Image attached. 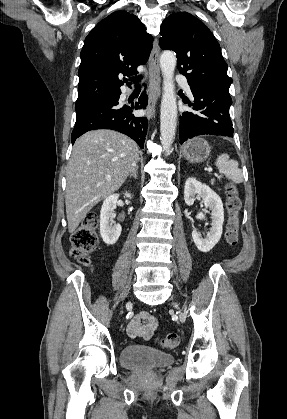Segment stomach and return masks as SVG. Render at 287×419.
<instances>
[{"mask_svg": "<svg viewBox=\"0 0 287 419\" xmlns=\"http://www.w3.org/2000/svg\"><path fill=\"white\" fill-rule=\"evenodd\" d=\"M182 152L188 161L200 163L209 157L211 148L205 139L194 137L184 144Z\"/></svg>", "mask_w": 287, "mask_h": 419, "instance_id": "stomach-1", "label": "stomach"}]
</instances>
